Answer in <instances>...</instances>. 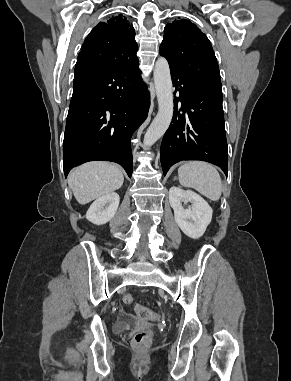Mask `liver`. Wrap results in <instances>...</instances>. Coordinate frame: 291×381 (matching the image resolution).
I'll return each mask as SVG.
<instances>
[{
  "label": "liver",
  "mask_w": 291,
  "mask_h": 381,
  "mask_svg": "<svg viewBox=\"0 0 291 381\" xmlns=\"http://www.w3.org/2000/svg\"><path fill=\"white\" fill-rule=\"evenodd\" d=\"M123 181V173L118 166L102 161L83 164L68 177L69 187L82 205L114 192Z\"/></svg>",
  "instance_id": "liver-1"
}]
</instances>
